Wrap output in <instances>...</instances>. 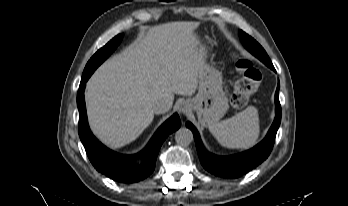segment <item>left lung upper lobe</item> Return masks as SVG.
<instances>
[{
  "mask_svg": "<svg viewBox=\"0 0 348 206\" xmlns=\"http://www.w3.org/2000/svg\"><path fill=\"white\" fill-rule=\"evenodd\" d=\"M240 37L245 45L252 47L253 49L257 51V54H260L263 57L265 63L270 68L272 69L274 68L264 49L253 38H251L249 35H247L243 31H240Z\"/></svg>",
  "mask_w": 348,
  "mask_h": 206,
  "instance_id": "left-lung-upper-lobe-1",
  "label": "left lung upper lobe"
}]
</instances>
